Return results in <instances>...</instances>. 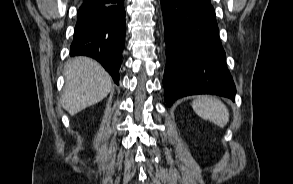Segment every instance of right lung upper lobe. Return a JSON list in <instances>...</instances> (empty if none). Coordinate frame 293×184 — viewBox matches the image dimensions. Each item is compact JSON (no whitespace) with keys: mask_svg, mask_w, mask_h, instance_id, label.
I'll list each match as a JSON object with an SVG mask.
<instances>
[{"mask_svg":"<svg viewBox=\"0 0 293 184\" xmlns=\"http://www.w3.org/2000/svg\"><path fill=\"white\" fill-rule=\"evenodd\" d=\"M83 1H84V3L102 6V5L110 4L111 0H83Z\"/></svg>","mask_w":293,"mask_h":184,"instance_id":"obj_1","label":"right lung upper lobe"}]
</instances>
